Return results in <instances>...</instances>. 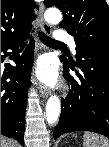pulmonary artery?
Here are the masks:
<instances>
[{
	"label": "pulmonary artery",
	"mask_w": 109,
	"mask_h": 147,
	"mask_svg": "<svg viewBox=\"0 0 109 147\" xmlns=\"http://www.w3.org/2000/svg\"><path fill=\"white\" fill-rule=\"evenodd\" d=\"M53 38L59 44L67 43L70 46L72 52H75L76 44L74 42L73 37H71L69 34L63 32H57L56 34H54Z\"/></svg>",
	"instance_id": "pulmonary-artery-1"
}]
</instances>
